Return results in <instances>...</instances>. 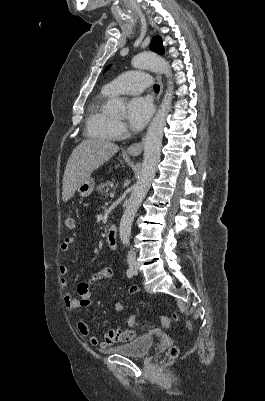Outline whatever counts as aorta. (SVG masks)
<instances>
[{"label":"aorta","instance_id":"762f6f07","mask_svg":"<svg viewBox=\"0 0 265 401\" xmlns=\"http://www.w3.org/2000/svg\"><path fill=\"white\" fill-rule=\"evenodd\" d=\"M132 64L135 68H150V70H154V72H162V74H166L169 80H171L172 72L169 62H167L165 58H162V56L155 54V52H142V54H137V56H134ZM172 96L173 84L170 82L169 86H167L166 94H164L163 102H161L155 116L152 118V122H150L147 128L146 138H144V156L141 170L138 174L136 184L132 186L129 203L120 221L119 237L125 247L130 243V233L134 217L156 174L160 160L164 126L166 124ZM117 106H119V108L124 106L123 98L118 100Z\"/></svg>","mask_w":265,"mask_h":401}]
</instances>
